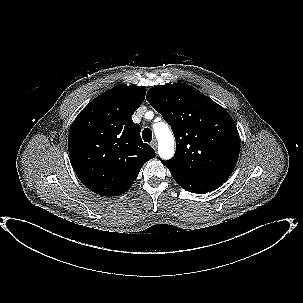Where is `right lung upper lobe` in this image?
Masks as SVG:
<instances>
[{"instance_id":"cb5924a9","label":"right lung upper lobe","mask_w":303,"mask_h":303,"mask_svg":"<svg viewBox=\"0 0 303 303\" xmlns=\"http://www.w3.org/2000/svg\"><path fill=\"white\" fill-rule=\"evenodd\" d=\"M146 88L118 85L90 102L75 118L68 150L81 182L102 196L125 193L143 164L156 156L142 142L131 116L143 103Z\"/></svg>"}]
</instances>
